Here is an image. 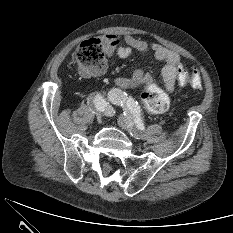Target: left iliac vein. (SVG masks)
<instances>
[{
	"label": "left iliac vein",
	"instance_id": "left-iliac-vein-1",
	"mask_svg": "<svg viewBox=\"0 0 233 233\" xmlns=\"http://www.w3.org/2000/svg\"><path fill=\"white\" fill-rule=\"evenodd\" d=\"M118 123L122 129L126 130L132 137L140 139L143 133L134 125V122L129 116L120 115L118 117Z\"/></svg>",
	"mask_w": 233,
	"mask_h": 233
}]
</instances>
